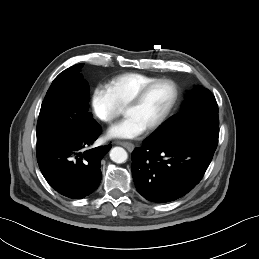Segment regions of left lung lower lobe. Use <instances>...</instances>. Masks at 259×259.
Returning a JSON list of instances; mask_svg holds the SVG:
<instances>
[{
  "instance_id": "obj_1",
  "label": "left lung lower lobe",
  "mask_w": 259,
  "mask_h": 259,
  "mask_svg": "<svg viewBox=\"0 0 259 259\" xmlns=\"http://www.w3.org/2000/svg\"><path fill=\"white\" fill-rule=\"evenodd\" d=\"M218 137V128L195 126L167 141L145 139L132 152L131 169L139 194L156 203L187 194L206 172Z\"/></svg>"
}]
</instances>
